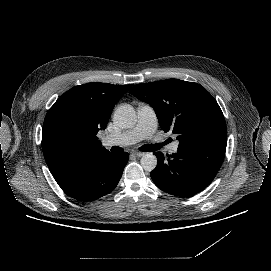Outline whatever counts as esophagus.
I'll return each mask as SVG.
<instances>
[{
  "mask_svg": "<svg viewBox=\"0 0 271 271\" xmlns=\"http://www.w3.org/2000/svg\"><path fill=\"white\" fill-rule=\"evenodd\" d=\"M132 154L135 155V156H137V157H142V156L145 155L144 152H139V151H133Z\"/></svg>",
  "mask_w": 271,
  "mask_h": 271,
  "instance_id": "34e87169",
  "label": "esophagus"
}]
</instances>
